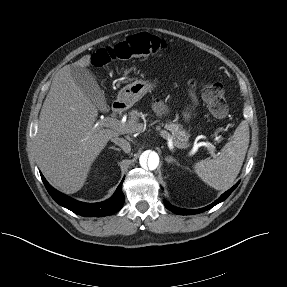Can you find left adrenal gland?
<instances>
[{"mask_svg":"<svg viewBox=\"0 0 287 287\" xmlns=\"http://www.w3.org/2000/svg\"><path fill=\"white\" fill-rule=\"evenodd\" d=\"M165 161L169 164V163H175L176 165L180 166V164L176 161V159H174L173 157L171 156H167L165 157Z\"/></svg>","mask_w":287,"mask_h":287,"instance_id":"left-adrenal-gland-1","label":"left adrenal gland"}]
</instances>
